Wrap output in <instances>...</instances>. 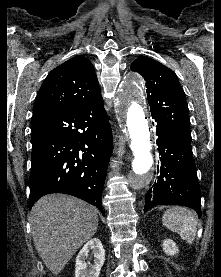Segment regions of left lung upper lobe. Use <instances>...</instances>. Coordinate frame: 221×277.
I'll list each match as a JSON object with an SVG mask.
<instances>
[{"label":"left lung upper lobe","mask_w":221,"mask_h":277,"mask_svg":"<svg viewBox=\"0 0 221 277\" xmlns=\"http://www.w3.org/2000/svg\"><path fill=\"white\" fill-rule=\"evenodd\" d=\"M131 70L141 74L146 81L152 118L160 121L177 137L190 143L188 106L177 75L146 56H139L133 61Z\"/></svg>","instance_id":"left-lung-upper-lobe-1"}]
</instances>
